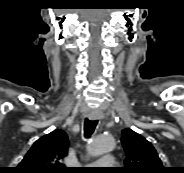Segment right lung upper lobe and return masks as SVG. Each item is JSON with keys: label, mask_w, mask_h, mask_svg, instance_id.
Masks as SVG:
<instances>
[{"label": "right lung upper lobe", "mask_w": 184, "mask_h": 173, "mask_svg": "<svg viewBox=\"0 0 184 173\" xmlns=\"http://www.w3.org/2000/svg\"><path fill=\"white\" fill-rule=\"evenodd\" d=\"M69 142L66 133L54 130L38 139L27 152L16 171L18 173H67L63 158Z\"/></svg>", "instance_id": "obj_1"}]
</instances>
